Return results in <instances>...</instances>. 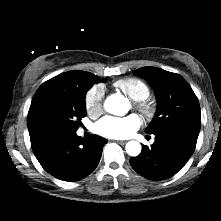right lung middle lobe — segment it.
<instances>
[{"instance_id":"obj_1","label":"right lung middle lobe","mask_w":221,"mask_h":221,"mask_svg":"<svg viewBox=\"0 0 221 221\" xmlns=\"http://www.w3.org/2000/svg\"><path fill=\"white\" fill-rule=\"evenodd\" d=\"M100 81L104 79L78 70L62 81L45 82L32 99L28 117L50 134L76 132L86 116L85 95Z\"/></svg>"}]
</instances>
